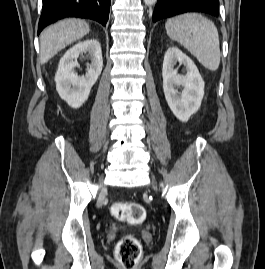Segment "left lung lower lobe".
Masks as SVG:
<instances>
[{
	"label": "left lung lower lobe",
	"instance_id": "obj_1",
	"mask_svg": "<svg viewBox=\"0 0 265 269\" xmlns=\"http://www.w3.org/2000/svg\"><path fill=\"white\" fill-rule=\"evenodd\" d=\"M185 12H204L218 17L219 0H158L153 13V21Z\"/></svg>",
	"mask_w": 265,
	"mask_h": 269
}]
</instances>
